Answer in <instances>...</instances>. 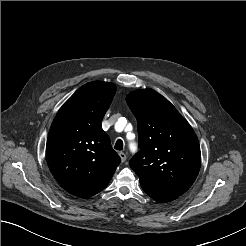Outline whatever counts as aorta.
I'll list each match as a JSON object with an SVG mask.
<instances>
[{
    "mask_svg": "<svg viewBox=\"0 0 246 246\" xmlns=\"http://www.w3.org/2000/svg\"><path fill=\"white\" fill-rule=\"evenodd\" d=\"M130 148H131L132 151H135V149H136L134 144H132Z\"/></svg>",
    "mask_w": 246,
    "mask_h": 246,
    "instance_id": "1",
    "label": "aorta"
}]
</instances>
